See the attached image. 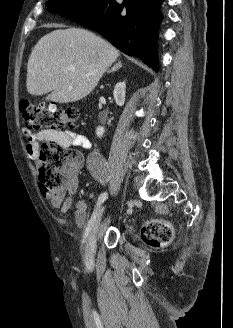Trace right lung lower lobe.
<instances>
[{
	"instance_id": "98d812e1",
	"label": "right lung lower lobe",
	"mask_w": 233,
	"mask_h": 328,
	"mask_svg": "<svg viewBox=\"0 0 233 328\" xmlns=\"http://www.w3.org/2000/svg\"><path fill=\"white\" fill-rule=\"evenodd\" d=\"M163 0H100L67 18L87 28L100 31L115 47L129 56L140 58L154 70H158L156 49Z\"/></svg>"
}]
</instances>
